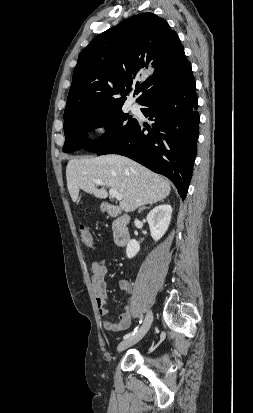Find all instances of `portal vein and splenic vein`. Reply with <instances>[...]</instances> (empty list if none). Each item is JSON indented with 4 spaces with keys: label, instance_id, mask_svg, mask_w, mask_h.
Segmentation results:
<instances>
[{
    "label": "portal vein and splenic vein",
    "instance_id": "obj_1",
    "mask_svg": "<svg viewBox=\"0 0 253 413\" xmlns=\"http://www.w3.org/2000/svg\"><path fill=\"white\" fill-rule=\"evenodd\" d=\"M94 183H95L96 185H100V186H103V185H104V183H103L101 180H94ZM109 194H110L112 197H115L117 200H122V198H123L122 194H120V193L118 192V190H116V189H110V190H109Z\"/></svg>",
    "mask_w": 253,
    "mask_h": 413
}]
</instances>
